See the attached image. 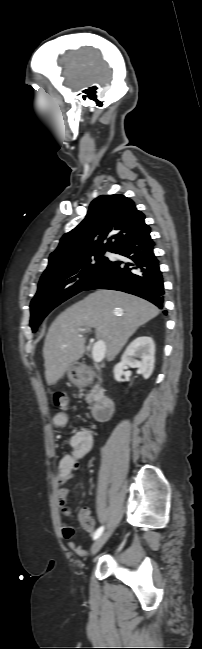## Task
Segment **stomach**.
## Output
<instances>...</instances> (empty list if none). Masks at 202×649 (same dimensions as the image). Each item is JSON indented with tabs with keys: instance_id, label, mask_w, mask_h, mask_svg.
<instances>
[{
	"instance_id": "stomach-1",
	"label": "stomach",
	"mask_w": 202,
	"mask_h": 649,
	"mask_svg": "<svg viewBox=\"0 0 202 649\" xmlns=\"http://www.w3.org/2000/svg\"><path fill=\"white\" fill-rule=\"evenodd\" d=\"M69 380L74 384H79L82 381V373L78 367L71 365L67 370Z\"/></svg>"
}]
</instances>
